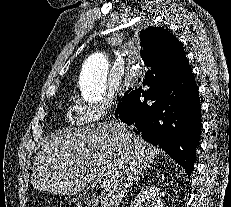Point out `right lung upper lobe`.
<instances>
[{
    "label": "right lung upper lobe",
    "instance_id": "right-lung-upper-lobe-1",
    "mask_svg": "<svg viewBox=\"0 0 231 207\" xmlns=\"http://www.w3.org/2000/svg\"><path fill=\"white\" fill-rule=\"evenodd\" d=\"M140 40V54L147 67L180 71L189 66L183 45L168 30L152 27L150 34Z\"/></svg>",
    "mask_w": 231,
    "mask_h": 207
}]
</instances>
